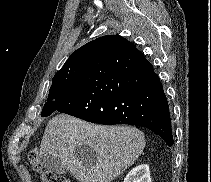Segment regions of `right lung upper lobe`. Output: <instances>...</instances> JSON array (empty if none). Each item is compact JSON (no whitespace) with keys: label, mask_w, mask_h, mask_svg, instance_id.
<instances>
[{"label":"right lung upper lobe","mask_w":211,"mask_h":182,"mask_svg":"<svg viewBox=\"0 0 211 182\" xmlns=\"http://www.w3.org/2000/svg\"><path fill=\"white\" fill-rule=\"evenodd\" d=\"M94 42L95 40L85 44L73 52L62 69L73 67L79 64H85L87 66Z\"/></svg>","instance_id":"right-lung-upper-lobe-1"}]
</instances>
